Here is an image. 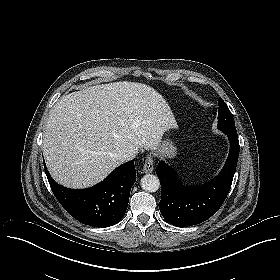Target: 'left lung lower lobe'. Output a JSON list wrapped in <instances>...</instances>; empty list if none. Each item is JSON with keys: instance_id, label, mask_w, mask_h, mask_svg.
Masks as SVG:
<instances>
[{"instance_id": "0a47b994", "label": "left lung lower lobe", "mask_w": 280, "mask_h": 280, "mask_svg": "<svg viewBox=\"0 0 280 280\" xmlns=\"http://www.w3.org/2000/svg\"><path fill=\"white\" fill-rule=\"evenodd\" d=\"M230 151L221 173L212 181L199 187L180 184L175 171L159 161L156 174L160 180L162 197L159 209L172 225L188 227L209 219L221 207L230 190L239 156L237 134H227Z\"/></svg>"}]
</instances>
